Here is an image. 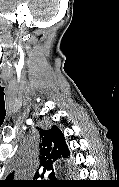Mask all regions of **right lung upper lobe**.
Masks as SVG:
<instances>
[{"mask_svg":"<svg viewBox=\"0 0 119 187\" xmlns=\"http://www.w3.org/2000/svg\"><path fill=\"white\" fill-rule=\"evenodd\" d=\"M40 133V172H49L53 169V164L58 159L69 156V150L65 143L64 136L57 126L51 130L39 128ZM13 178V174L8 179Z\"/></svg>","mask_w":119,"mask_h":187,"instance_id":"1","label":"right lung upper lobe"}]
</instances>
